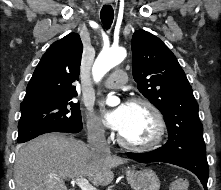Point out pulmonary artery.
Masks as SVG:
<instances>
[{
  "mask_svg": "<svg viewBox=\"0 0 221 190\" xmlns=\"http://www.w3.org/2000/svg\"><path fill=\"white\" fill-rule=\"evenodd\" d=\"M127 83L126 72L122 69L115 70L104 82V86L113 89L124 86Z\"/></svg>",
  "mask_w": 221,
  "mask_h": 190,
  "instance_id": "obj_1",
  "label": "pulmonary artery"
}]
</instances>
